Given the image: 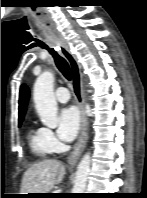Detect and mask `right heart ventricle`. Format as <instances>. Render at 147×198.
I'll return each instance as SVG.
<instances>
[{"label":"right heart ventricle","mask_w":147,"mask_h":198,"mask_svg":"<svg viewBox=\"0 0 147 198\" xmlns=\"http://www.w3.org/2000/svg\"><path fill=\"white\" fill-rule=\"evenodd\" d=\"M28 141L32 152L37 157L44 158L51 153L44 141L42 128L30 127Z\"/></svg>","instance_id":"obj_1"}]
</instances>
